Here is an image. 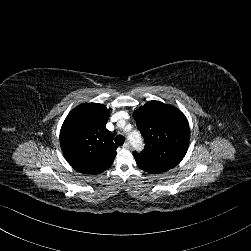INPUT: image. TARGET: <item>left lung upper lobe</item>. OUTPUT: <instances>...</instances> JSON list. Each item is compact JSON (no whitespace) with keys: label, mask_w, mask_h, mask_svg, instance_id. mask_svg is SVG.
<instances>
[{"label":"left lung upper lobe","mask_w":251,"mask_h":251,"mask_svg":"<svg viewBox=\"0 0 251 251\" xmlns=\"http://www.w3.org/2000/svg\"><path fill=\"white\" fill-rule=\"evenodd\" d=\"M137 128L144 137L145 148L136 160L168 170L184 158L190 139L185 115L172 105L149 101L134 111Z\"/></svg>","instance_id":"5c2ea615"}]
</instances>
